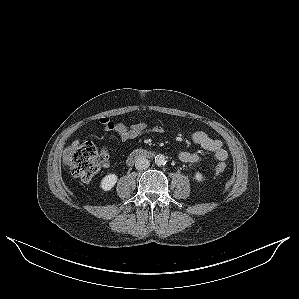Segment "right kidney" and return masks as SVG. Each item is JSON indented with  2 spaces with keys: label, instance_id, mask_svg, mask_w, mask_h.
Wrapping results in <instances>:
<instances>
[{
  "label": "right kidney",
  "instance_id": "ca27d5eb",
  "mask_svg": "<svg viewBox=\"0 0 299 299\" xmlns=\"http://www.w3.org/2000/svg\"><path fill=\"white\" fill-rule=\"evenodd\" d=\"M118 180L117 175L115 174H108L104 176L100 182V186L104 191L111 190Z\"/></svg>",
  "mask_w": 299,
  "mask_h": 299
}]
</instances>
